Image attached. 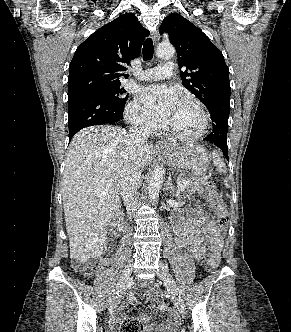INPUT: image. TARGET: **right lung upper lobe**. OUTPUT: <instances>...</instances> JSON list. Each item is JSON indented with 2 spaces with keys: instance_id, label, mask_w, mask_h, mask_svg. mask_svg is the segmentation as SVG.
Wrapping results in <instances>:
<instances>
[{
  "instance_id": "1",
  "label": "right lung upper lobe",
  "mask_w": 291,
  "mask_h": 332,
  "mask_svg": "<svg viewBox=\"0 0 291 332\" xmlns=\"http://www.w3.org/2000/svg\"><path fill=\"white\" fill-rule=\"evenodd\" d=\"M149 32L131 13L104 25L76 50L70 63L68 95L88 91L99 83L121 84L126 65L138 57Z\"/></svg>"
}]
</instances>
